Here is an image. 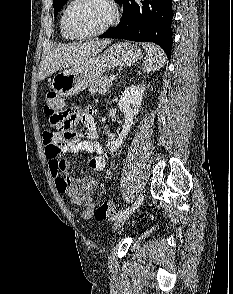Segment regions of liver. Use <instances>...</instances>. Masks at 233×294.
I'll use <instances>...</instances> for the list:
<instances>
[{"instance_id":"1","label":"liver","mask_w":233,"mask_h":294,"mask_svg":"<svg viewBox=\"0 0 233 294\" xmlns=\"http://www.w3.org/2000/svg\"><path fill=\"white\" fill-rule=\"evenodd\" d=\"M110 40L89 41L79 44L65 45L51 51L40 66L39 80H44L54 72L75 66L100 53Z\"/></svg>"}]
</instances>
